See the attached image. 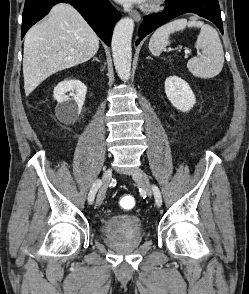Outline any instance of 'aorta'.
I'll return each mask as SVG.
<instances>
[{
    "label": "aorta",
    "instance_id": "aorta-1",
    "mask_svg": "<svg viewBox=\"0 0 249 294\" xmlns=\"http://www.w3.org/2000/svg\"><path fill=\"white\" fill-rule=\"evenodd\" d=\"M133 31L134 21L131 18H123L115 25L112 36L113 61L117 74L123 81H127L131 75Z\"/></svg>",
    "mask_w": 249,
    "mask_h": 294
}]
</instances>
